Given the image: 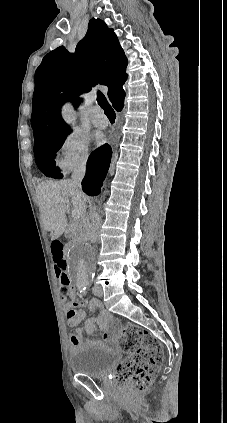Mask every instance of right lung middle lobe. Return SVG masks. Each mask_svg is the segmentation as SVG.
<instances>
[{"mask_svg": "<svg viewBox=\"0 0 227 423\" xmlns=\"http://www.w3.org/2000/svg\"><path fill=\"white\" fill-rule=\"evenodd\" d=\"M67 134H60L34 139V156L38 168L48 177L60 179L55 166L54 154L62 147Z\"/></svg>", "mask_w": 227, "mask_h": 423, "instance_id": "obj_1", "label": "right lung middle lobe"}]
</instances>
